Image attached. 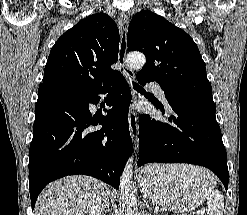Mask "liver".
<instances>
[{"mask_svg": "<svg viewBox=\"0 0 247 215\" xmlns=\"http://www.w3.org/2000/svg\"><path fill=\"white\" fill-rule=\"evenodd\" d=\"M107 201L103 182L89 176H69L41 193L35 215H103Z\"/></svg>", "mask_w": 247, "mask_h": 215, "instance_id": "6515ba94", "label": "liver"}]
</instances>
